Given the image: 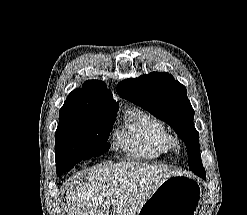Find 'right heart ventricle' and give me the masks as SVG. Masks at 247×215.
<instances>
[{"instance_id":"1","label":"right heart ventricle","mask_w":247,"mask_h":215,"mask_svg":"<svg viewBox=\"0 0 247 215\" xmlns=\"http://www.w3.org/2000/svg\"><path fill=\"white\" fill-rule=\"evenodd\" d=\"M168 136L162 121L140 109H132L116 130L115 143L131 158L151 161L169 152Z\"/></svg>"}]
</instances>
